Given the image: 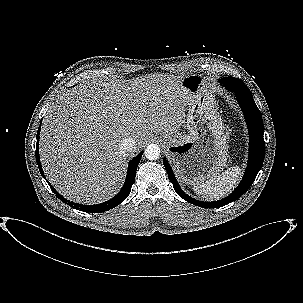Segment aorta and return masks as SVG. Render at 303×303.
<instances>
[{"instance_id":"762f6f07","label":"aorta","mask_w":303,"mask_h":303,"mask_svg":"<svg viewBox=\"0 0 303 303\" xmlns=\"http://www.w3.org/2000/svg\"><path fill=\"white\" fill-rule=\"evenodd\" d=\"M144 153L147 159L157 160L160 156V147L157 144H149Z\"/></svg>"}]
</instances>
